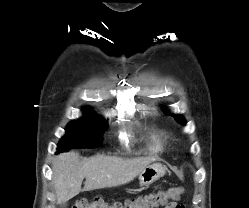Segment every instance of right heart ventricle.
Returning a JSON list of instances; mask_svg holds the SVG:
<instances>
[{"mask_svg": "<svg viewBox=\"0 0 249 208\" xmlns=\"http://www.w3.org/2000/svg\"><path fill=\"white\" fill-rule=\"evenodd\" d=\"M167 142L166 134L159 129H152L148 133V145L154 152H159L164 149Z\"/></svg>", "mask_w": 249, "mask_h": 208, "instance_id": "right-heart-ventricle-1", "label": "right heart ventricle"}]
</instances>
